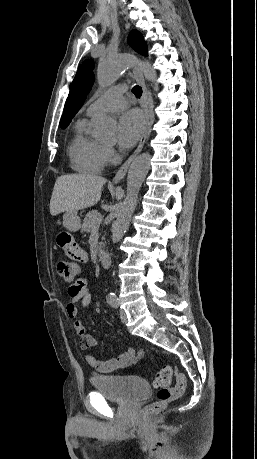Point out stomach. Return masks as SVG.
<instances>
[{
  "label": "stomach",
  "mask_w": 257,
  "mask_h": 459,
  "mask_svg": "<svg viewBox=\"0 0 257 459\" xmlns=\"http://www.w3.org/2000/svg\"><path fill=\"white\" fill-rule=\"evenodd\" d=\"M63 225L66 229L72 230L73 232L78 231L81 228V220L77 211L66 212L63 216Z\"/></svg>",
  "instance_id": "stomach-1"
}]
</instances>
